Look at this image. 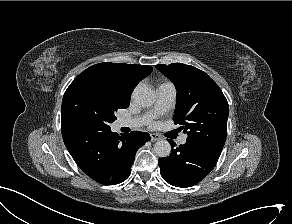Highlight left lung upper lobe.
I'll return each mask as SVG.
<instances>
[{
	"instance_id": "left-lung-upper-lobe-1",
	"label": "left lung upper lobe",
	"mask_w": 292,
	"mask_h": 224,
	"mask_svg": "<svg viewBox=\"0 0 292 224\" xmlns=\"http://www.w3.org/2000/svg\"><path fill=\"white\" fill-rule=\"evenodd\" d=\"M177 90L173 120L187 141L221 153L226 140L228 102L218 85L203 71L182 63L156 65Z\"/></svg>"
}]
</instances>
